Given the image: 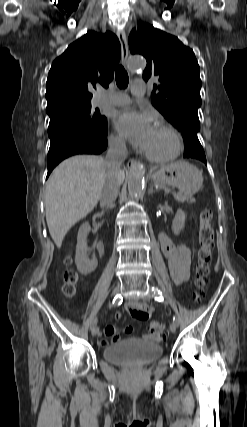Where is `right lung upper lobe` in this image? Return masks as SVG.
<instances>
[{
    "label": "right lung upper lobe",
    "instance_id": "obj_1",
    "mask_svg": "<svg viewBox=\"0 0 247 427\" xmlns=\"http://www.w3.org/2000/svg\"><path fill=\"white\" fill-rule=\"evenodd\" d=\"M121 47L111 32L89 31L56 58L46 83L47 113L67 106L90 104L91 91L108 87L119 62Z\"/></svg>",
    "mask_w": 247,
    "mask_h": 427
}]
</instances>
